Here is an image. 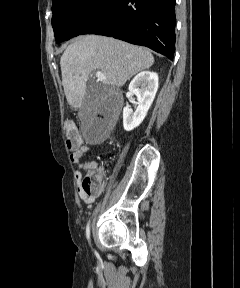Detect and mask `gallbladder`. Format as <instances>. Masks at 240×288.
Returning a JSON list of instances; mask_svg holds the SVG:
<instances>
[{"label": "gallbladder", "instance_id": "gallbladder-1", "mask_svg": "<svg viewBox=\"0 0 240 288\" xmlns=\"http://www.w3.org/2000/svg\"><path fill=\"white\" fill-rule=\"evenodd\" d=\"M112 113V106L109 103L107 93L102 89L100 91H87L82 104L81 116L83 119L94 117L96 114L109 116Z\"/></svg>", "mask_w": 240, "mask_h": 288}]
</instances>
